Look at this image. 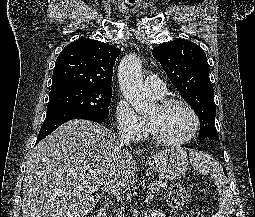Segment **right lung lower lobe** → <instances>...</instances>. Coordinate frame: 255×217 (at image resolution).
Wrapping results in <instances>:
<instances>
[{"label":"right lung lower lobe","instance_id":"right-lung-lower-lobe-1","mask_svg":"<svg viewBox=\"0 0 255 217\" xmlns=\"http://www.w3.org/2000/svg\"><path fill=\"white\" fill-rule=\"evenodd\" d=\"M72 119H86L101 123L105 119H101L87 112L72 110L68 108H55L47 111L45 121L40 129L36 144L47 135L56 130L63 123Z\"/></svg>","mask_w":255,"mask_h":217}]
</instances>
